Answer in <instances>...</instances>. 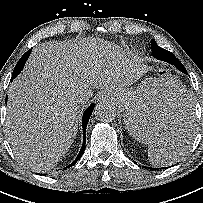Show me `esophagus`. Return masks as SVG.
<instances>
[{"label":"esophagus","mask_w":203,"mask_h":203,"mask_svg":"<svg viewBox=\"0 0 203 203\" xmlns=\"http://www.w3.org/2000/svg\"><path fill=\"white\" fill-rule=\"evenodd\" d=\"M107 100H108V96H107L106 94H101V95L99 96V101L105 102V101H107Z\"/></svg>","instance_id":"1"}]
</instances>
